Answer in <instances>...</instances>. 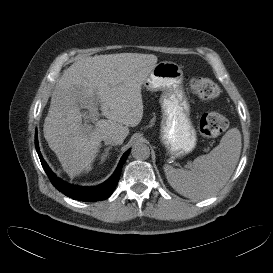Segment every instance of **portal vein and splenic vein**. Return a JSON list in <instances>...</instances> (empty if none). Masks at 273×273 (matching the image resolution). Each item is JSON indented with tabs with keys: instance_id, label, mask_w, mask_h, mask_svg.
I'll use <instances>...</instances> for the list:
<instances>
[{
	"instance_id": "portal-vein-and-splenic-vein-1",
	"label": "portal vein and splenic vein",
	"mask_w": 273,
	"mask_h": 273,
	"mask_svg": "<svg viewBox=\"0 0 273 273\" xmlns=\"http://www.w3.org/2000/svg\"><path fill=\"white\" fill-rule=\"evenodd\" d=\"M98 117H99L98 108L97 107H90L89 108V116L88 117L86 116V118H89L93 123H97ZM84 127L87 130H91L93 128V126L88 124L87 122L84 123Z\"/></svg>"
}]
</instances>
